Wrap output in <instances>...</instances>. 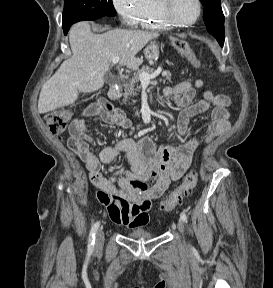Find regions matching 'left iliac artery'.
Instances as JSON below:
<instances>
[{
    "mask_svg": "<svg viewBox=\"0 0 273 288\" xmlns=\"http://www.w3.org/2000/svg\"><path fill=\"white\" fill-rule=\"evenodd\" d=\"M180 218H181L184 222H187V215H186L184 212H182V213L180 214Z\"/></svg>",
    "mask_w": 273,
    "mask_h": 288,
    "instance_id": "44dca946",
    "label": "left iliac artery"
}]
</instances>
